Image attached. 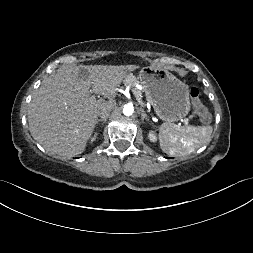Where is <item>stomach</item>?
<instances>
[{
    "label": "stomach",
    "instance_id": "obj_1",
    "mask_svg": "<svg viewBox=\"0 0 253 253\" xmlns=\"http://www.w3.org/2000/svg\"><path fill=\"white\" fill-rule=\"evenodd\" d=\"M138 79L159 119L173 123L188 115L191 109L189 87L171 72L146 65L141 68Z\"/></svg>",
    "mask_w": 253,
    "mask_h": 253
}]
</instances>
